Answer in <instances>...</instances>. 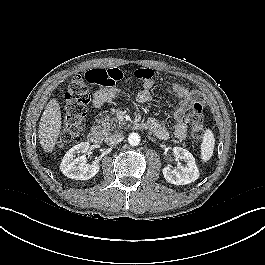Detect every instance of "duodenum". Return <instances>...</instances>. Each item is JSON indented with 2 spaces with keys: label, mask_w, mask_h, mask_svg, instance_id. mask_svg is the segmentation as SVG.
I'll list each match as a JSON object with an SVG mask.
<instances>
[{
  "label": "duodenum",
  "mask_w": 265,
  "mask_h": 265,
  "mask_svg": "<svg viewBox=\"0 0 265 265\" xmlns=\"http://www.w3.org/2000/svg\"><path fill=\"white\" fill-rule=\"evenodd\" d=\"M138 128H141V125H138ZM88 140L93 144H99L102 140V136L97 129H92L89 131Z\"/></svg>",
  "instance_id": "1"
}]
</instances>
